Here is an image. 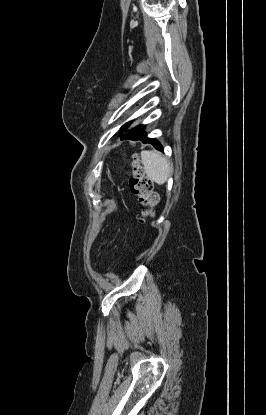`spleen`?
Masks as SVG:
<instances>
[{
  "label": "spleen",
  "mask_w": 266,
  "mask_h": 415,
  "mask_svg": "<svg viewBox=\"0 0 266 415\" xmlns=\"http://www.w3.org/2000/svg\"><path fill=\"white\" fill-rule=\"evenodd\" d=\"M142 163L147 177L157 183L164 184L171 172L170 162L159 152L144 150L141 152Z\"/></svg>",
  "instance_id": "3e777b00"
}]
</instances>
